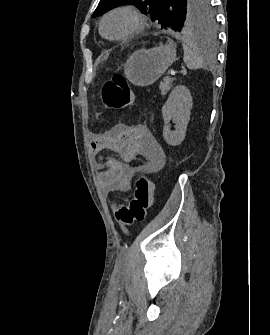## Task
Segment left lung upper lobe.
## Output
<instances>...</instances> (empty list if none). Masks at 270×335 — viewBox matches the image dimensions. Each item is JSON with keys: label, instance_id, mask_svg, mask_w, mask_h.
Instances as JSON below:
<instances>
[{"label": "left lung upper lobe", "instance_id": "5c2ea615", "mask_svg": "<svg viewBox=\"0 0 270 335\" xmlns=\"http://www.w3.org/2000/svg\"><path fill=\"white\" fill-rule=\"evenodd\" d=\"M123 5H134L144 14H151L165 30L192 33L212 30L215 24L211 0H100L92 17Z\"/></svg>", "mask_w": 270, "mask_h": 335}]
</instances>
